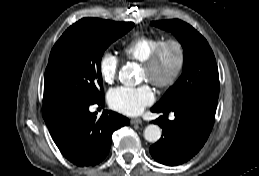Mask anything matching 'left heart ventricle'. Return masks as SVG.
Masks as SVG:
<instances>
[{
  "label": "left heart ventricle",
  "instance_id": "b2bd125f",
  "mask_svg": "<svg viewBox=\"0 0 259 176\" xmlns=\"http://www.w3.org/2000/svg\"><path fill=\"white\" fill-rule=\"evenodd\" d=\"M177 62V52L175 48L168 47L161 58L159 63L158 72L161 76H168L175 68ZM141 76L143 80H149L150 73L142 68Z\"/></svg>",
  "mask_w": 259,
  "mask_h": 176
}]
</instances>
